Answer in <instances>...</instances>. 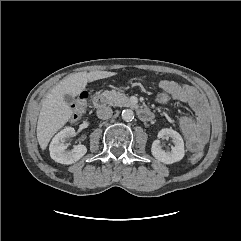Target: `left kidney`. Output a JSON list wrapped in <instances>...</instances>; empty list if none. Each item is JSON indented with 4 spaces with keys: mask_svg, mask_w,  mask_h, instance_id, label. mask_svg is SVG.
<instances>
[{
    "mask_svg": "<svg viewBox=\"0 0 241 241\" xmlns=\"http://www.w3.org/2000/svg\"><path fill=\"white\" fill-rule=\"evenodd\" d=\"M166 137L172 138L174 143L171 151L163 150L160 146V140L157 139L152 143V155L155 157V159L165 164H172L180 161L185 154L184 141L181 135L171 128H164L159 131L158 138L164 139Z\"/></svg>",
    "mask_w": 241,
    "mask_h": 241,
    "instance_id": "left-kidney-1",
    "label": "left kidney"
}]
</instances>
